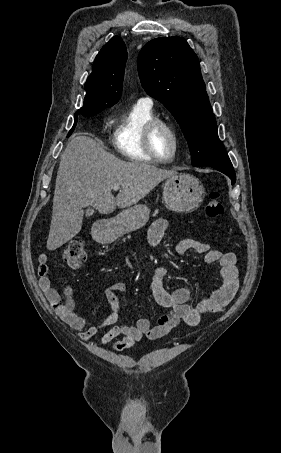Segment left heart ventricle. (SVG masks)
I'll return each instance as SVG.
<instances>
[{
    "mask_svg": "<svg viewBox=\"0 0 281 453\" xmlns=\"http://www.w3.org/2000/svg\"><path fill=\"white\" fill-rule=\"evenodd\" d=\"M155 147L161 158L168 159L172 154V138L164 130H161L156 137Z\"/></svg>",
    "mask_w": 281,
    "mask_h": 453,
    "instance_id": "1",
    "label": "left heart ventricle"
}]
</instances>
